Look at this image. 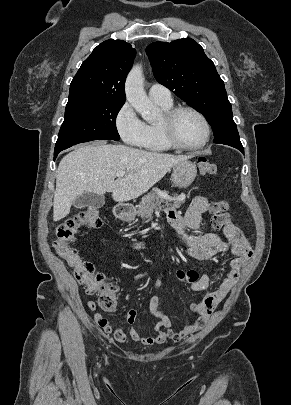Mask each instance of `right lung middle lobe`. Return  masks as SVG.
I'll list each match as a JSON object with an SVG mask.
<instances>
[{
	"label": "right lung middle lobe",
	"instance_id": "right-lung-middle-lobe-1",
	"mask_svg": "<svg viewBox=\"0 0 291 405\" xmlns=\"http://www.w3.org/2000/svg\"><path fill=\"white\" fill-rule=\"evenodd\" d=\"M123 102L85 101L67 104L64 122L55 145L58 153L75 144L92 140H119L116 116Z\"/></svg>",
	"mask_w": 291,
	"mask_h": 405
}]
</instances>
